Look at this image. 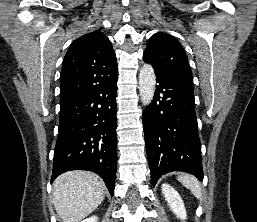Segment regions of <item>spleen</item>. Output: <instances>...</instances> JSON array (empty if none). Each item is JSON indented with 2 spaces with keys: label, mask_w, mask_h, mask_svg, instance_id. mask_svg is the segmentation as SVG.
Instances as JSON below:
<instances>
[{
  "label": "spleen",
  "mask_w": 257,
  "mask_h": 222,
  "mask_svg": "<svg viewBox=\"0 0 257 222\" xmlns=\"http://www.w3.org/2000/svg\"><path fill=\"white\" fill-rule=\"evenodd\" d=\"M178 180L188 189L191 190L193 195L197 198H201V187L197 179L191 175H180Z\"/></svg>",
  "instance_id": "obj_1"
}]
</instances>
